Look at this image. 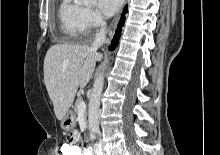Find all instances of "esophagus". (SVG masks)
<instances>
[{
	"mask_svg": "<svg viewBox=\"0 0 220 155\" xmlns=\"http://www.w3.org/2000/svg\"><path fill=\"white\" fill-rule=\"evenodd\" d=\"M114 31H115L114 29H113L112 31H110V34H109V35H110V37H112V36H113Z\"/></svg>",
	"mask_w": 220,
	"mask_h": 155,
	"instance_id": "esophagus-1",
	"label": "esophagus"
}]
</instances>
